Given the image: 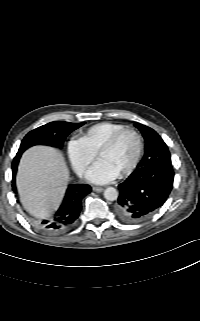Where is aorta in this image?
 <instances>
[{
  "mask_svg": "<svg viewBox=\"0 0 200 321\" xmlns=\"http://www.w3.org/2000/svg\"><path fill=\"white\" fill-rule=\"evenodd\" d=\"M104 197L108 201H114L118 198V191L114 187H108L104 191Z\"/></svg>",
  "mask_w": 200,
  "mask_h": 321,
  "instance_id": "762f6f07",
  "label": "aorta"
}]
</instances>
